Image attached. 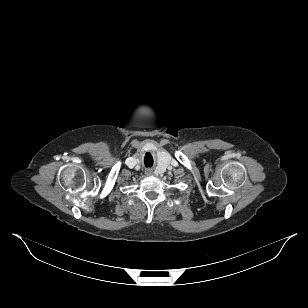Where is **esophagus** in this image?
I'll return each mask as SVG.
<instances>
[{
    "label": "esophagus",
    "instance_id": "esophagus-1",
    "mask_svg": "<svg viewBox=\"0 0 308 308\" xmlns=\"http://www.w3.org/2000/svg\"><path fill=\"white\" fill-rule=\"evenodd\" d=\"M145 174H146L147 176L152 175V170H151V169H146V170H145Z\"/></svg>",
    "mask_w": 308,
    "mask_h": 308
}]
</instances>
